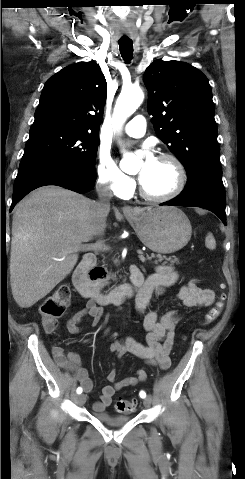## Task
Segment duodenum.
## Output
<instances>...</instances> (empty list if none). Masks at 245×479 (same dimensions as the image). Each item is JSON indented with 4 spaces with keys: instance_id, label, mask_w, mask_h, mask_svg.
I'll return each instance as SVG.
<instances>
[{
    "instance_id": "duodenum-1",
    "label": "duodenum",
    "mask_w": 245,
    "mask_h": 479,
    "mask_svg": "<svg viewBox=\"0 0 245 479\" xmlns=\"http://www.w3.org/2000/svg\"><path fill=\"white\" fill-rule=\"evenodd\" d=\"M101 277L96 257L86 254L74 272L73 284L82 297L91 298L100 305L120 304L125 299L138 295L144 287V279L138 269L131 270L130 283L105 292L100 288Z\"/></svg>"
}]
</instances>
